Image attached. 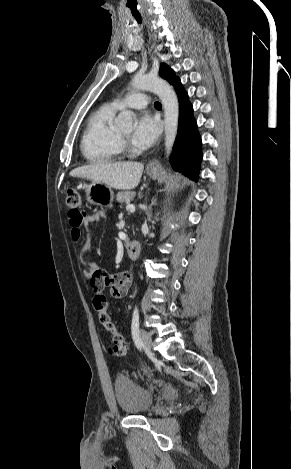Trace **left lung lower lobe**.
I'll return each instance as SVG.
<instances>
[{
  "instance_id": "obj_1",
  "label": "left lung lower lobe",
  "mask_w": 291,
  "mask_h": 469,
  "mask_svg": "<svg viewBox=\"0 0 291 469\" xmlns=\"http://www.w3.org/2000/svg\"><path fill=\"white\" fill-rule=\"evenodd\" d=\"M173 85L179 100L178 134L169 162L175 171L182 172L192 180H197L202 160L201 137L193 117V107L188 94L177 78Z\"/></svg>"
}]
</instances>
